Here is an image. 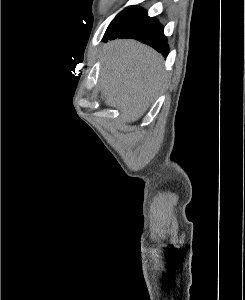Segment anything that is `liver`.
<instances>
[{
	"instance_id": "1",
	"label": "liver",
	"mask_w": 245,
	"mask_h": 300,
	"mask_svg": "<svg viewBox=\"0 0 245 300\" xmlns=\"http://www.w3.org/2000/svg\"><path fill=\"white\" fill-rule=\"evenodd\" d=\"M101 77L105 103L118 109L124 122H135L163 82V57L135 40H115L105 48Z\"/></svg>"
}]
</instances>
